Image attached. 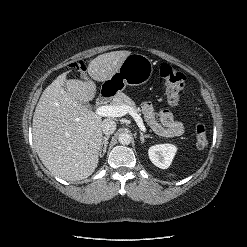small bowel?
I'll use <instances>...</instances> for the list:
<instances>
[{
	"label": "small bowel",
	"mask_w": 247,
	"mask_h": 247,
	"mask_svg": "<svg viewBox=\"0 0 247 247\" xmlns=\"http://www.w3.org/2000/svg\"><path fill=\"white\" fill-rule=\"evenodd\" d=\"M144 117L153 131L163 137H176L183 133L184 126L168 108L155 110L151 102L142 105Z\"/></svg>",
	"instance_id": "small-bowel-1"
}]
</instances>
